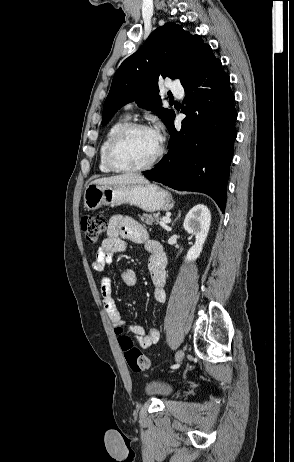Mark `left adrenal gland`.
<instances>
[{
    "label": "left adrenal gland",
    "instance_id": "1",
    "mask_svg": "<svg viewBox=\"0 0 294 462\" xmlns=\"http://www.w3.org/2000/svg\"><path fill=\"white\" fill-rule=\"evenodd\" d=\"M179 216H180V211H179V213H178V217H179Z\"/></svg>",
    "mask_w": 294,
    "mask_h": 462
}]
</instances>
